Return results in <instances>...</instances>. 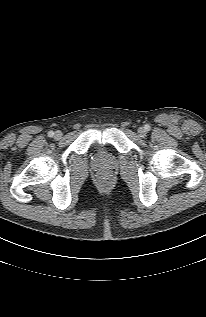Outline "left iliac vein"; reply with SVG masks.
Instances as JSON below:
<instances>
[{"label":"left iliac vein","mask_w":206,"mask_h":317,"mask_svg":"<svg viewBox=\"0 0 206 317\" xmlns=\"http://www.w3.org/2000/svg\"><path fill=\"white\" fill-rule=\"evenodd\" d=\"M146 133H147V131H146L145 128L140 127V128L138 129V134H139L140 137H145V136H146Z\"/></svg>","instance_id":"obj_1"}]
</instances>
